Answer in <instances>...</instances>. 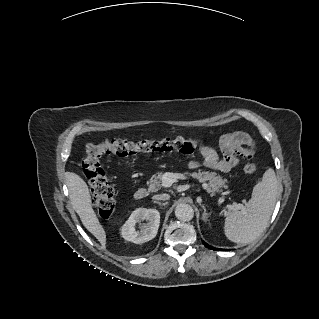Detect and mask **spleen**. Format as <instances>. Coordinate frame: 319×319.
<instances>
[{
  "mask_svg": "<svg viewBox=\"0 0 319 319\" xmlns=\"http://www.w3.org/2000/svg\"><path fill=\"white\" fill-rule=\"evenodd\" d=\"M279 183L272 168L265 171L252 192V197L242 210L231 212L225 219L226 237L235 243H248L258 238L266 229L273 213Z\"/></svg>",
  "mask_w": 319,
  "mask_h": 319,
  "instance_id": "3e777b00",
  "label": "spleen"
}]
</instances>
